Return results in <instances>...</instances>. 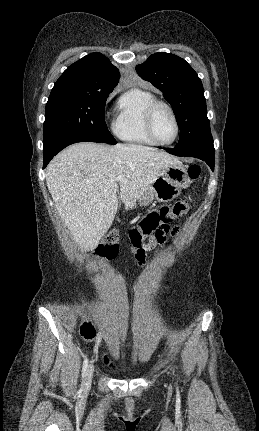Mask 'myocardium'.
Returning <instances> with one entry per match:
<instances>
[{
  "label": "myocardium",
  "instance_id": "1",
  "mask_svg": "<svg viewBox=\"0 0 259 431\" xmlns=\"http://www.w3.org/2000/svg\"><path fill=\"white\" fill-rule=\"evenodd\" d=\"M159 107H164V108H166V109L170 112V114H171V116H172V119H173V121H174V125H175V134H174L173 138H172L170 141H168V142H161V141H159V140L156 138L155 134H154V129H153V119H154V114H155L156 110H157ZM144 121H145V128H146V132H147V134H148L149 138H150V139H151V140H152L156 145H160V146H168V145L173 144V143L177 140V138H178V136H179V133H180L179 120H178V117H177V114H176V112H175L174 108H173L169 103H167V102H165V101H162V100H155V101H153V102H152V103H151V104L146 108V111H145V114H144Z\"/></svg>",
  "mask_w": 259,
  "mask_h": 431
}]
</instances>
